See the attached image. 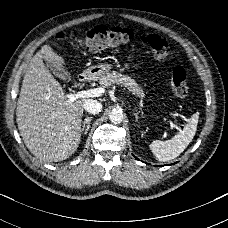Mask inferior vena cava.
I'll return each instance as SVG.
<instances>
[{"label": "inferior vena cava", "instance_id": "obj_1", "mask_svg": "<svg viewBox=\"0 0 228 228\" xmlns=\"http://www.w3.org/2000/svg\"><path fill=\"white\" fill-rule=\"evenodd\" d=\"M84 109L90 114H99L102 110V105L97 100L88 99L85 101Z\"/></svg>", "mask_w": 228, "mask_h": 228}]
</instances>
